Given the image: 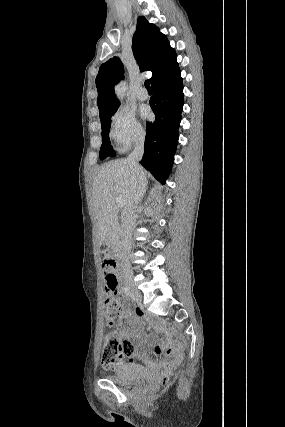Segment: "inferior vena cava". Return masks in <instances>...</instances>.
<instances>
[{
    "label": "inferior vena cava",
    "instance_id": "1",
    "mask_svg": "<svg viewBox=\"0 0 285 427\" xmlns=\"http://www.w3.org/2000/svg\"><path fill=\"white\" fill-rule=\"evenodd\" d=\"M144 153V137H140L135 142V148L127 158V162L133 176V190L130 199L123 210V226H122V246L125 254L123 270L126 273H131L128 255L132 247V232L136 223V208L141 201L145 192L146 177L139 161Z\"/></svg>",
    "mask_w": 285,
    "mask_h": 427
}]
</instances>
